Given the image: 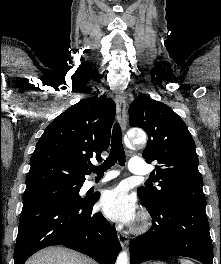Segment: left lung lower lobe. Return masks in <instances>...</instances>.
Segmentation results:
<instances>
[{
  "label": "left lung lower lobe",
  "instance_id": "obj_1",
  "mask_svg": "<svg viewBox=\"0 0 221 264\" xmlns=\"http://www.w3.org/2000/svg\"><path fill=\"white\" fill-rule=\"evenodd\" d=\"M146 208L153 220L152 227L131 240V264L169 256H186L213 264L205 206L168 202Z\"/></svg>",
  "mask_w": 221,
  "mask_h": 264
}]
</instances>
